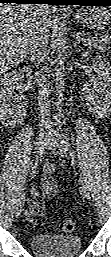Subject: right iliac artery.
Masks as SVG:
<instances>
[{"mask_svg":"<svg viewBox=\"0 0 111 257\" xmlns=\"http://www.w3.org/2000/svg\"><path fill=\"white\" fill-rule=\"evenodd\" d=\"M38 163H39V159L37 158L35 163L33 164L32 168H31V173H30V179L33 178L35 172H36V169L38 167ZM30 179H28L26 185L24 186V188L22 189V193L20 195V198H19V201H24L25 198H26V194H27V188H28V185H29V182H30Z\"/></svg>","mask_w":111,"mask_h":257,"instance_id":"obj_1","label":"right iliac artery"}]
</instances>
